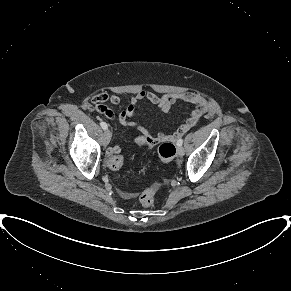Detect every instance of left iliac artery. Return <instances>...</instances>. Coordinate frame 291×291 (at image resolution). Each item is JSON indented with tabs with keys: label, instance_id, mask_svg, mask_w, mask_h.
I'll return each mask as SVG.
<instances>
[{
	"label": "left iliac artery",
	"instance_id": "1",
	"mask_svg": "<svg viewBox=\"0 0 291 291\" xmlns=\"http://www.w3.org/2000/svg\"><path fill=\"white\" fill-rule=\"evenodd\" d=\"M182 144H183V139H179V140L177 141V145H178V146H182Z\"/></svg>",
	"mask_w": 291,
	"mask_h": 291
}]
</instances>
